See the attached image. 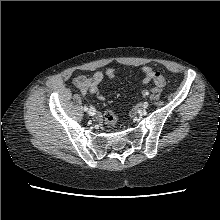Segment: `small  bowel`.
<instances>
[{
	"mask_svg": "<svg viewBox=\"0 0 220 220\" xmlns=\"http://www.w3.org/2000/svg\"><path fill=\"white\" fill-rule=\"evenodd\" d=\"M143 80L142 83L147 85L151 82L155 84V79L163 77V75L150 66L142 67ZM116 75L114 68L110 67L105 72H95L94 74L79 75L73 80V84L80 90L82 94L96 95L98 99L104 100V95L99 90V85L105 77L112 79Z\"/></svg>",
	"mask_w": 220,
	"mask_h": 220,
	"instance_id": "1",
	"label": "small bowel"
}]
</instances>
